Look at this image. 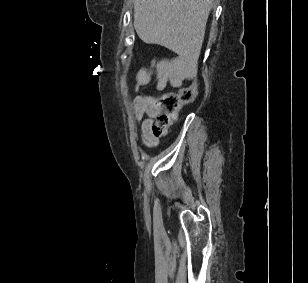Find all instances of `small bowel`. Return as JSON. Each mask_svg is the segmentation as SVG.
Instances as JSON below:
<instances>
[{"label": "small bowel", "mask_w": 308, "mask_h": 283, "mask_svg": "<svg viewBox=\"0 0 308 283\" xmlns=\"http://www.w3.org/2000/svg\"><path fill=\"white\" fill-rule=\"evenodd\" d=\"M196 73L195 62L188 59L174 57L153 62L151 68H142L136 74L133 108L135 118L141 126L143 138L140 143L143 147L154 148L158 146L159 139L152 133V124L158 114L153 106L152 98L139 92V88L148 85L154 79L156 90L163 91L168 85L180 86L184 80L192 78Z\"/></svg>", "instance_id": "1"}]
</instances>
